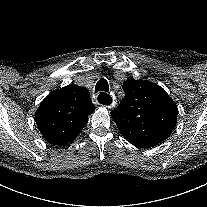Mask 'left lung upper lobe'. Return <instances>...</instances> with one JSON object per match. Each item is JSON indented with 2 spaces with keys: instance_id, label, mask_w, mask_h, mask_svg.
I'll list each match as a JSON object with an SVG mask.
<instances>
[{
  "instance_id": "5c2ea615",
  "label": "left lung upper lobe",
  "mask_w": 207,
  "mask_h": 207,
  "mask_svg": "<svg viewBox=\"0 0 207 207\" xmlns=\"http://www.w3.org/2000/svg\"><path fill=\"white\" fill-rule=\"evenodd\" d=\"M125 96L111 117L125 139L137 147L151 148L169 137L177 120V106L155 83L129 77Z\"/></svg>"
}]
</instances>
